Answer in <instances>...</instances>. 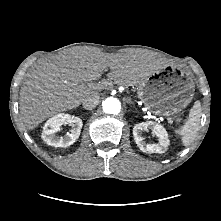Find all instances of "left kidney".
Here are the masks:
<instances>
[{
	"mask_svg": "<svg viewBox=\"0 0 221 221\" xmlns=\"http://www.w3.org/2000/svg\"><path fill=\"white\" fill-rule=\"evenodd\" d=\"M148 130H151L152 134L158 137L159 142L157 144H148L144 142L142 132ZM133 135L137 146L143 152L164 153L169 145L167 131L162 125L153 121L136 124L133 128Z\"/></svg>",
	"mask_w": 221,
	"mask_h": 221,
	"instance_id": "5707ae66",
	"label": "left kidney"
}]
</instances>
